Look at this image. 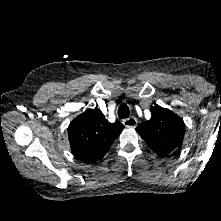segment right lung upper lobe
<instances>
[{"instance_id": "cb5924a9", "label": "right lung upper lobe", "mask_w": 221, "mask_h": 221, "mask_svg": "<svg viewBox=\"0 0 221 221\" xmlns=\"http://www.w3.org/2000/svg\"><path fill=\"white\" fill-rule=\"evenodd\" d=\"M124 126L120 122L109 123L100 110L87 109L68 127L73 154L82 162L102 159Z\"/></svg>"}]
</instances>
